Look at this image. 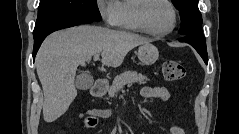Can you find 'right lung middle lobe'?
Listing matches in <instances>:
<instances>
[{
	"mask_svg": "<svg viewBox=\"0 0 239 134\" xmlns=\"http://www.w3.org/2000/svg\"><path fill=\"white\" fill-rule=\"evenodd\" d=\"M70 18L102 20L96 0H40L33 35L55 22Z\"/></svg>",
	"mask_w": 239,
	"mask_h": 134,
	"instance_id": "dd1d6c3e",
	"label": "right lung middle lobe"
}]
</instances>
